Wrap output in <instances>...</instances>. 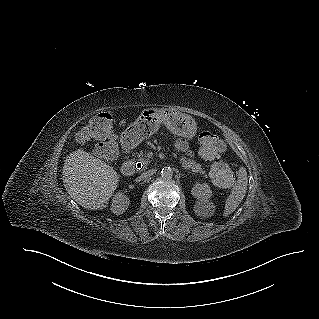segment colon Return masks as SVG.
Here are the masks:
<instances>
[{"label":"colon","instance_id":"colon-1","mask_svg":"<svg viewBox=\"0 0 319 319\" xmlns=\"http://www.w3.org/2000/svg\"><path fill=\"white\" fill-rule=\"evenodd\" d=\"M106 113L97 114L93 120L81 131L80 140L89 139L99 142L97 153L106 161H114L118 157L117 132ZM201 154L204 159L212 161L211 175L214 181L220 185H231L234 176L229 168L219 160L224 144L221 138L211 132L200 135Z\"/></svg>","mask_w":319,"mask_h":319}]
</instances>
